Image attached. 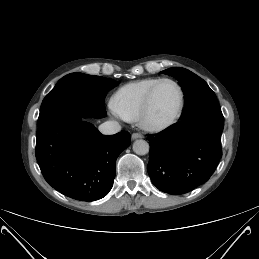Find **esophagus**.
Listing matches in <instances>:
<instances>
[{
	"mask_svg": "<svg viewBox=\"0 0 259 259\" xmlns=\"http://www.w3.org/2000/svg\"><path fill=\"white\" fill-rule=\"evenodd\" d=\"M132 140L143 138L142 134L140 133H133L131 136Z\"/></svg>",
	"mask_w": 259,
	"mask_h": 259,
	"instance_id": "obj_1",
	"label": "esophagus"
}]
</instances>
